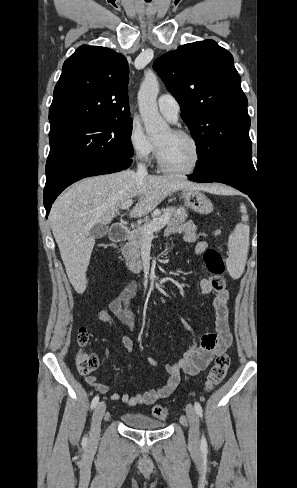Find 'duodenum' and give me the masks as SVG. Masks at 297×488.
<instances>
[{
    "label": "duodenum",
    "mask_w": 297,
    "mask_h": 488,
    "mask_svg": "<svg viewBox=\"0 0 297 488\" xmlns=\"http://www.w3.org/2000/svg\"><path fill=\"white\" fill-rule=\"evenodd\" d=\"M129 230L121 224H113L110 228L109 237L113 242H123L127 239Z\"/></svg>",
    "instance_id": "410a0bca"
}]
</instances>
